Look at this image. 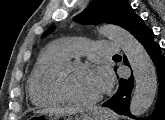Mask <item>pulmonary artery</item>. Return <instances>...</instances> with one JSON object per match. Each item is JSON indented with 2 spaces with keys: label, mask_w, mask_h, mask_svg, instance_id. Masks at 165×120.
<instances>
[{
  "label": "pulmonary artery",
  "mask_w": 165,
  "mask_h": 120,
  "mask_svg": "<svg viewBox=\"0 0 165 120\" xmlns=\"http://www.w3.org/2000/svg\"><path fill=\"white\" fill-rule=\"evenodd\" d=\"M55 48L69 58L90 52H96L101 56H113L122 50L121 46L114 42L102 41L95 44H89L75 39H62L55 44Z\"/></svg>",
  "instance_id": "1"
}]
</instances>
